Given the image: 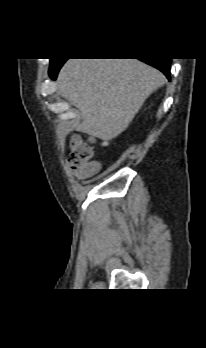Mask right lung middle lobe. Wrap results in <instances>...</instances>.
I'll use <instances>...</instances> for the list:
<instances>
[{
	"mask_svg": "<svg viewBox=\"0 0 206 348\" xmlns=\"http://www.w3.org/2000/svg\"><path fill=\"white\" fill-rule=\"evenodd\" d=\"M61 60H64V59H50V67L57 64Z\"/></svg>",
	"mask_w": 206,
	"mask_h": 348,
	"instance_id": "dd1d6c3e",
	"label": "right lung middle lobe"
}]
</instances>
